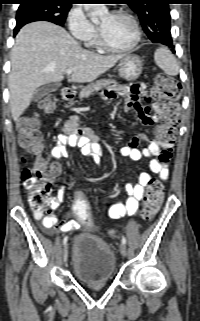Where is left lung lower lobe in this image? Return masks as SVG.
Returning a JSON list of instances; mask_svg holds the SVG:
<instances>
[{
	"label": "left lung lower lobe",
	"mask_w": 200,
	"mask_h": 321,
	"mask_svg": "<svg viewBox=\"0 0 200 321\" xmlns=\"http://www.w3.org/2000/svg\"><path fill=\"white\" fill-rule=\"evenodd\" d=\"M163 45H166V46H168V47H174L173 46V43H172V41H165L164 43H162ZM173 52H174V50H173Z\"/></svg>",
	"instance_id": "0a47b994"
}]
</instances>
